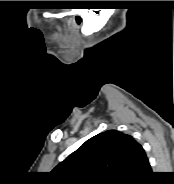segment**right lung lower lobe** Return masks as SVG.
Returning a JSON list of instances; mask_svg holds the SVG:
<instances>
[{"mask_svg": "<svg viewBox=\"0 0 174 184\" xmlns=\"http://www.w3.org/2000/svg\"><path fill=\"white\" fill-rule=\"evenodd\" d=\"M151 167L147 162L144 167L132 179L122 182L121 184H145L151 175Z\"/></svg>", "mask_w": 174, "mask_h": 184, "instance_id": "obj_1", "label": "right lung lower lobe"}]
</instances>
